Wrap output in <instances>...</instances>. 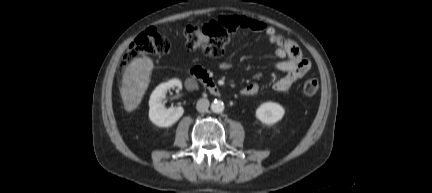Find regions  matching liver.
Instances as JSON below:
<instances>
[{
  "mask_svg": "<svg viewBox=\"0 0 432 193\" xmlns=\"http://www.w3.org/2000/svg\"><path fill=\"white\" fill-rule=\"evenodd\" d=\"M152 69L151 59L138 58L123 74L120 93L125 111L132 112L139 106L149 86Z\"/></svg>",
  "mask_w": 432,
  "mask_h": 193,
  "instance_id": "liver-1",
  "label": "liver"
}]
</instances>
